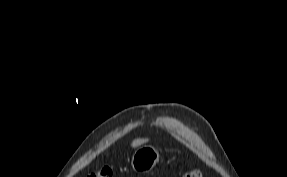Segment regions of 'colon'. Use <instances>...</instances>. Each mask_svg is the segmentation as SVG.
I'll return each instance as SVG.
<instances>
[{"label": "colon", "instance_id": "colon-1", "mask_svg": "<svg viewBox=\"0 0 287 177\" xmlns=\"http://www.w3.org/2000/svg\"><path fill=\"white\" fill-rule=\"evenodd\" d=\"M88 177H113V171L109 167H103L90 173ZM182 177H203V174L199 169H190Z\"/></svg>", "mask_w": 287, "mask_h": 177}]
</instances>
